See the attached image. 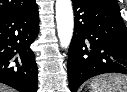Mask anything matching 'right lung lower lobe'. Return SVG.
I'll list each match as a JSON object with an SVG mask.
<instances>
[{"label":"right lung lower lobe","instance_id":"98d812e1","mask_svg":"<svg viewBox=\"0 0 127 92\" xmlns=\"http://www.w3.org/2000/svg\"><path fill=\"white\" fill-rule=\"evenodd\" d=\"M39 31L38 6L0 17V82L37 92V65L30 45Z\"/></svg>","mask_w":127,"mask_h":92}]
</instances>
